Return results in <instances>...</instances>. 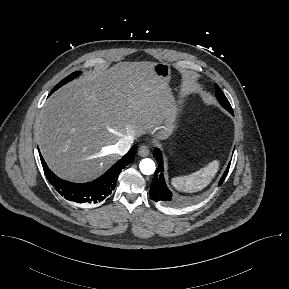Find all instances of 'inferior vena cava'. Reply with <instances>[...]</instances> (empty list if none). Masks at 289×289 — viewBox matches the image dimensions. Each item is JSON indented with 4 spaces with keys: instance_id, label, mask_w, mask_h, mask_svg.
Instances as JSON below:
<instances>
[{
    "instance_id": "inferior-vena-cava-1",
    "label": "inferior vena cava",
    "mask_w": 289,
    "mask_h": 289,
    "mask_svg": "<svg viewBox=\"0 0 289 289\" xmlns=\"http://www.w3.org/2000/svg\"><path fill=\"white\" fill-rule=\"evenodd\" d=\"M134 137L132 135H125L119 139L117 144L115 145L116 151L120 155H124L128 152L133 144Z\"/></svg>"
}]
</instances>
